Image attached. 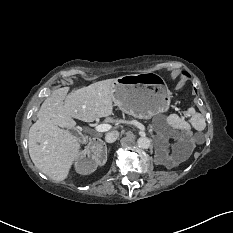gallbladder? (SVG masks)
<instances>
[{"mask_svg":"<svg viewBox=\"0 0 233 233\" xmlns=\"http://www.w3.org/2000/svg\"><path fill=\"white\" fill-rule=\"evenodd\" d=\"M68 131L73 135L76 133V130L74 128L68 129Z\"/></svg>","mask_w":233,"mask_h":233,"instance_id":"obj_1","label":"gallbladder"}]
</instances>
